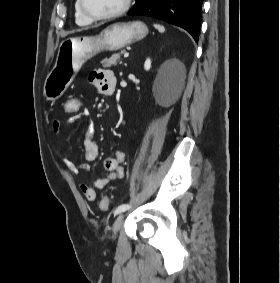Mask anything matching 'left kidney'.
Here are the masks:
<instances>
[{
    "instance_id": "left-kidney-1",
    "label": "left kidney",
    "mask_w": 280,
    "mask_h": 283,
    "mask_svg": "<svg viewBox=\"0 0 280 283\" xmlns=\"http://www.w3.org/2000/svg\"><path fill=\"white\" fill-rule=\"evenodd\" d=\"M151 67V60L148 58L144 63V69L148 71Z\"/></svg>"
}]
</instances>
